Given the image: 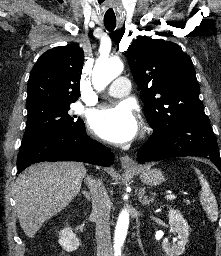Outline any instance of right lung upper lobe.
Returning <instances> with one entry per match:
<instances>
[{"instance_id":"cb5924a9","label":"right lung upper lobe","mask_w":221,"mask_h":256,"mask_svg":"<svg viewBox=\"0 0 221 256\" xmlns=\"http://www.w3.org/2000/svg\"><path fill=\"white\" fill-rule=\"evenodd\" d=\"M83 50L75 44L43 53L34 65L27 86V110L43 104L75 102L80 92Z\"/></svg>"}]
</instances>
